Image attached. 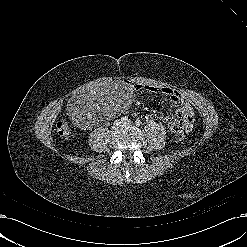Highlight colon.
<instances>
[{
	"mask_svg": "<svg viewBox=\"0 0 247 247\" xmlns=\"http://www.w3.org/2000/svg\"><path fill=\"white\" fill-rule=\"evenodd\" d=\"M56 130L60 136H67L70 133V126L66 119H59L56 123ZM186 131L176 130L175 137L177 140H182L185 137Z\"/></svg>",
	"mask_w": 247,
	"mask_h": 247,
	"instance_id": "obj_1",
	"label": "colon"
}]
</instances>
